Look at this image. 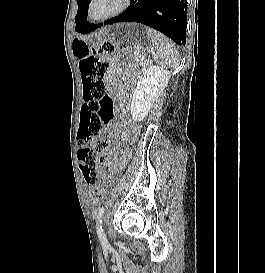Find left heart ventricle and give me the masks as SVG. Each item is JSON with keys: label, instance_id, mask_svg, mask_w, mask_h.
<instances>
[{"label": "left heart ventricle", "instance_id": "b2bd125f", "mask_svg": "<svg viewBox=\"0 0 265 273\" xmlns=\"http://www.w3.org/2000/svg\"><path fill=\"white\" fill-rule=\"evenodd\" d=\"M122 0H95L92 6V14L94 17L105 16L114 11Z\"/></svg>", "mask_w": 265, "mask_h": 273}]
</instances>
